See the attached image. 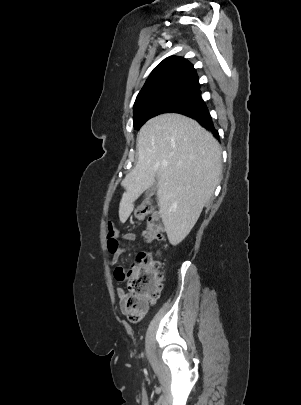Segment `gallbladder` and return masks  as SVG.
Instances as JSON below:
<instances>
[{
  "label": "gallbladder",
  "instance_id": "bac80fb5",
  "mask_svg": "<svg viewBox=\"0 0 301 405\" xmlns=\"http://www.w3.org/2000/svg\"><path fill=\"white\" fill-rule=\"evenodd\" d=\"M157 191V183L155 182L150 188H148L145 192V197L149 199L152 197Z\"/></svg>",
  "mask_w": 301,
  "mask_h": 405
}]
</instances>
